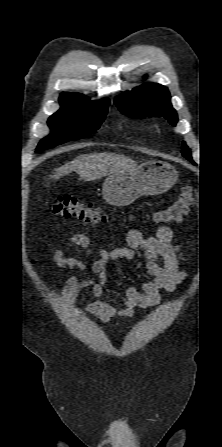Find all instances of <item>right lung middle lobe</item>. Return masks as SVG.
Listing matches in <instances>:
<instances>
[{
    "instance_id": "1",
    "label": "right lung middle lobe",
    "mask_w": 222,
    "mask_h": 447,
    "mask_svg": "<svg viewBox=\"0 0 222 447\" xmlns=\"http://www.w3.org/2000/svg\"><path fill=\"white\" fill-rule=\"evenodd\" d=\"M61 109L48 119L51 134L40 141L36 152L70 140H77L96 131L107 113L109 100L90 102L60 96Z\"/></svg>"
}]
</instances>
